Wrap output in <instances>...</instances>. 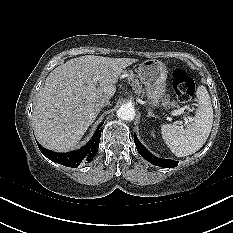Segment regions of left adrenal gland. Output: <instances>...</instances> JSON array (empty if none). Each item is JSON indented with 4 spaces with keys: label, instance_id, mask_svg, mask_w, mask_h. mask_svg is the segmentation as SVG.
Returning <instances> with one entry per match:
<instances>
[{
    "label": "left adrenal gland",
    "instance_id": "a2214340",
    "mask_svg": "<svg viewBox=\"0 0 233 233\" xmlns=\"http://www.w3.org/2000/svg\"><path fill=\"white\" fill-rule=\"evenodd\" d=\"M148 117H154V118H157L156 115H154L150 110L148 111Z\"/></svg>",
    "mask_w": 233,
    "mask_h": 233
}]
</instances>
